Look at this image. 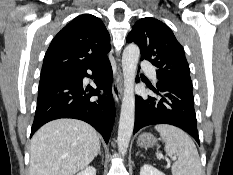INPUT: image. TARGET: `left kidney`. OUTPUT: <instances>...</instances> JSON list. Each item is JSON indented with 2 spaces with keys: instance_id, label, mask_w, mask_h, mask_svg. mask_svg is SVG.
Instances as JSON below:
<instances>
[{
  "instance_id": "obj_1",
  "label": "left kidney",
  "mask_w": 233,
  "mask_h": 175,
  "mask_svg": "<svg viewBox=\"0 0 233 175\" xmlns=\"http://www.w3.org/2000/svg\"><path fill=\"white\" fill-rule=\"evenodd\" d=\"M140 175H165L158 169L154 168L153 166L149 164H145L142 166L140 170Z\"/></svg>"
}]
</instances>
